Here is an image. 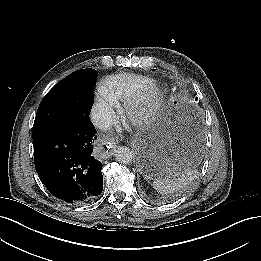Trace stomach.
<instances>
[{
	"instance_id": "1",
	"label": "stomach",
	"mask_w": 261,
	"mask_h": 261,
	"mask_svg": "<svg viewBox=\"0 0 261 261\" xmlns=\"http://www.w3.org/2000/svg\"><path fill=\"white\" fill-rule=\"evenodd\" d=\"M192 114L187 102L171 99L151 124L136 134L139 167L149 178L162 175L167 166L181 170L193 165L199 144L196 137L184 131Z\"/></svg>"
}]
</instances>
